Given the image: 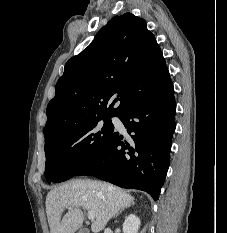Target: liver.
<instances>
[{"label": "liver", "instance_id": "liver-1", "mask_svg": "<svg viewBox=\"0 0 227 233\" xmlns=\"http://www.w3.org/2000/svg\"><path fill=\"white\" fill-rule=\"evenodd\" d=\"M133 203V196L109 183L87 179L62 184L46 197L50 233H75L84 220L81 207L95 214L91 230L99 233L117 212ZM65 209L68 212L61 220Z\"/></svg>", "mask_w": 227, "mask_h": 233}]
</instances>
